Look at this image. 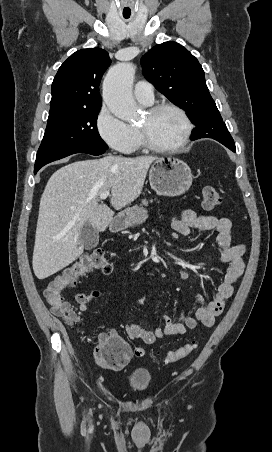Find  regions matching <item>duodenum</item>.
<instances>
[{
  "mask_svg": "<svg viewBox=\"0 0 272 452\" xmlns=\"http://www.w3.org/2000/svg\"><path fill=\"white\" fill-rule=\"evenodd\" d=\"M122 229V223L120 217H113L109 223L110 232H117Z\"/></svg>",
  "mask_w": 272,
  "mask_h": 452,
  "instance_id": "410a0bca",
  "label": "duodenum"
}]
</instances>
